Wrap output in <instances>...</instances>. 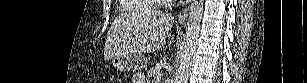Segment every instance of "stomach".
<instances>
[{
  "label": "stomach",
  "mask_w": 307,
  "mask_h": 83,
  "mask_svg": "<svg viewBox=\"0 0 307 83\" xmlns=\"http://www.w3.org/2000/svg\"><path fill=\"white\" fill-rule=\"evenodd\" d=\"M147 60L142 55H117L112 58V65L119 71H137L144 68Z\"/></svg>",
  "instance_id": "obj_1"
}]
</instances>
